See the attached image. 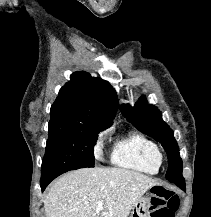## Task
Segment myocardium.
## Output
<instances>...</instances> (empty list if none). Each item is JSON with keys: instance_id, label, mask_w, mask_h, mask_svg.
Here are the masks:
<instances>
[{"instance_id": "obj_1", "label": "myocardium", "mask_w": 211, "mask_h": 217, "mask_svg": "<svg viewBox=\"0 0 211 217\" xmlns=\"http://www.w3.org/2000/svg\"><path fill=\"white\" fill-rule=\"evenodd\" d=\"M163 158H164L163 154L159 151V153L157 154V160L159 164L162 163Z\"/></svg>"}]
</instances>
